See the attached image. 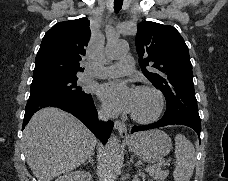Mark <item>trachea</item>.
Wrapping results in <instances>:
<instances>
[{"mask_svg":"<svg viewBox=\"0 0 228 181\" xmlns=\"http://www.w3.org/2000/svg\"><path fill=\"white\" fill-rule=\"evenodd\" d=\"M123 5V0H114V10L115 13H119Z\"/></svg>","mask_w":228,"mask_h":181,"instance_id":"3493384b","label":"trachea"}]
</instances>
